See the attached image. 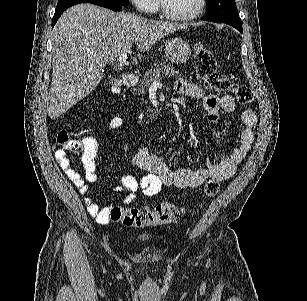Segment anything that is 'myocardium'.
I'll return each instance as SVG.
<instances>
[{"instance_id":"obj_1","label":"myocardium","mask_w":307,"mask_h":301,"mask_svg":"<svg viewBox=\"0 0 307 301\" xmlns=\"http://www.w3.org/2000/svg\"><path fill=\"white\" fill-rule=\"evenodd\" d=\"M155 17L163 18L164 22H191L200 16L205 0H198L195 11H167L165 0H158Z\"/></svg>"}]
</instances>
